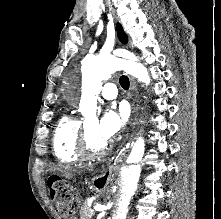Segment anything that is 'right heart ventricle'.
<instances>
[{
    "mask_svg": "<svg viewBox=\"0 0 221 219\" xmlns=\"http://www.w3.org/2000/svg\"><path fill=\"white\" fill-rule=\"evenodd\" d=\"M82 121L65 114L58 121L52 137V150L56 160L63 165L75 164L81 160L77 144Z\"/></svg>",
    "mask_w": 221,
    "mask_h": 219,
    "instance_id": "e07e8e85",
    "label": "right heart ventricle"
}]
</instances>
